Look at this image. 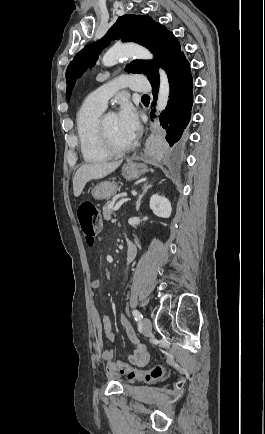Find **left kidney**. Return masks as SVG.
<instances>
[{
	"label": "left kidney",
	"mask_w": 265,
	"mask_h": 434,
	"mask_svg": "<svg viewBox=\"0 0 265 434\" xmlns=\"http://www.w3.org/2000/svg\"><path fill=\"white\" fill-rule=\"evenodd\" d=\"M150 210H152L155 216H159V218H170L172 212L171 202L167 198H164V196L154 194L150 198Z\"/></svg>",
	"instance_id": "5707ae66"
}]
</instances>
